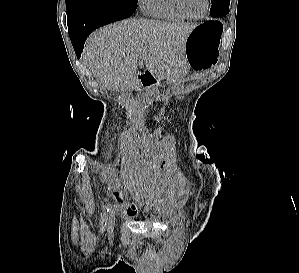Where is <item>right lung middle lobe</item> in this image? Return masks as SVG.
Wrapping results in <instances>:
<instances>
[{
	"label": "right lung middle lobe",
	"instance_id": "1",
	"mask_svg": "<svg viewBox=\"0 0 299 273\" xmlns=\"http://www.w3.org/2000/svg\"><path fill=\"white\" fill-rule=\"evenodd\" d=\"M138 0H66V7L71 3H101V2H112L124 5H136Z\"/></svg>",
	"mask_w": 299,
	"mask_h": 273
}]
</instances>
